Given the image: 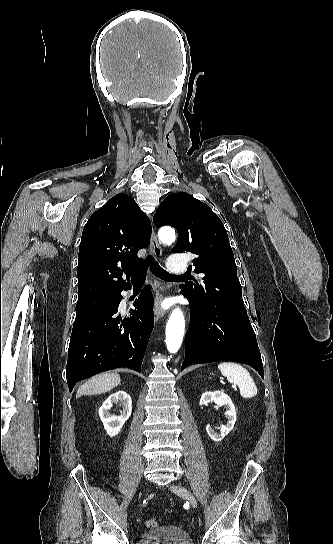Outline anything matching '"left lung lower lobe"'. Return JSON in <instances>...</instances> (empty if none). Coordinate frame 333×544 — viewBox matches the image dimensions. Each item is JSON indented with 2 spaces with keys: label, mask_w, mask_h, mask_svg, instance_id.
I'll return each instance as SVG.
<instances>
[{
  "label": "left lung lower lobe",
  "mask_w": 333,
  "mask_h": 544,
  "mask_svg": "<svg viewBox=\"0 0 333 544\" xmlns=\"http://www.w3.org/2000/svg\"><path fill=\"white\" fill-rule=\"evenodd\" d=\"M181 293L191 306L181 370L191 364L233 361L250 365L263 378L261 354L252 327L222 316Z\"/></svg>",
  "instance_id": "obj_1"
}]
</instances>
